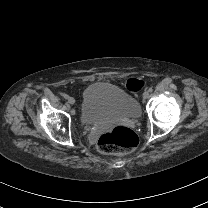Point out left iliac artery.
<instances>
[{
  "label": "left iliac artery",
  "mask_w": 208,
  "mask_h": 208,
  "mask_svg": "<svg viewBox=\"0 0 208 208\" xmlns=\"http://www.w3.org/2000/svg\"><path fill=\"white\" fill-rule=\"evenodd\" d=\"M153 91V89L150 87L149 89H148V92H152Z\"/></svg>",
  "instance_id": "1"
}]
</instances>
